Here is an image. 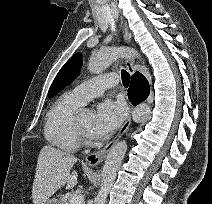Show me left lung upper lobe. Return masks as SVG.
<instances>
[{"label": "left lung upper lobe", "mask_w": 212, "mask_h": 204, "mask_svg": "<svg viewBox=\"0 0 212 204\" xmlns=\"http://www.w3.org/2000/svg\"><path fill=\"white\" fill-rule=\"evenodd\" d=\"M82 64V57L80 53L73 55L60 69L55 77L49 92L48 97H53L57 92L69 85L78 75L79 68Z\"/></svg>", "instance_id": "left-lung-upper-lobe-1"}]
</instances>
